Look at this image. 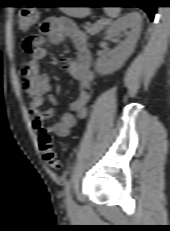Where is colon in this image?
Wrapping results in <instances>:
<instances>
[{"label":"colon","mask_w":170,"mask_h":231,"mask_svg":"<svg viewBox=\"0 0 170 231\" xmlns=\"http://www.w3.org/2000/svg\"><path fill=\"white\" fill-rule=\"evenodd\" d=\"M38 21L36 10L29 7L22 8L18 13V26L26 31ZM39 45L37 36H29L23 41V49L26 53H33ZM39 148L46 164L52 169L60 167V161L57 156L52 137L48 133H41L38 138Z\"/></svg>","instance_id":"1"}]
</instances>
